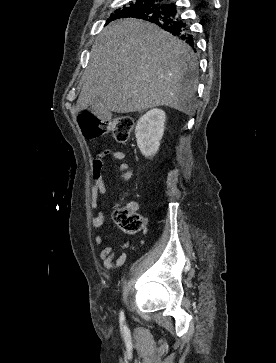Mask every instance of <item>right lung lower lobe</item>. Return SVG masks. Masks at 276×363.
<instances>
[{
	"label": "right lung lower lobe",
	"mask_w": 276,
	"mask_h": 363,
	"mask_svg": "<svg viewBox=\"0 0 276 363\" xmlns=\"http://www.w3.org/2000/svg\"><path fill=\"white\" fill-rule=\"evenodd\" d=\"M131 17L144 19L157 24L174 36L186 41V43L194 48L195 43L191 31L189 30V26L185 20L180 17L174 3L163 2Z\"/></svg>",
	"instance_id": "98d812e1"
}]
</instances>
